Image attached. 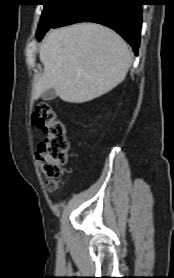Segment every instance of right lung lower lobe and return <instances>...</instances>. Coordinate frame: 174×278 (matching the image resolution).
Instances as JSON below:
<instances>
[{
	"mask_svg": "<svg viewBox=\"0 0 174 278\" xmlns=\"http://www.w3.org/2000/svg\"><path fill=\"white\" fill-rule=\"evenodd\" d=\"M142 0H75L53 28L78 22H96L112 28L137 55L142 26ZM47 32V31H46ZM46 32L36 35L40 40Z\"/></svg>",
	"mask_w": 174,
	"mask_h": 278,
	"instance_id": "right-lung-lower-lobe-1",
	"label": "right lung lower lobe"
}]
</instances>
